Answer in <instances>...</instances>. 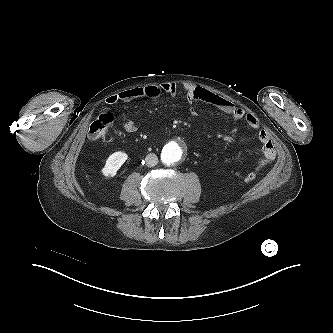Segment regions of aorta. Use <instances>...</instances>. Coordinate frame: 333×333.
I'll use <instances>...</instances> for the list:
<instances>
[{"mask_svg":"<svg viewBox=\"0 0 333 333\" xmlns=\"http://www.w3.org/2000/svg\"><path fill=\"white\" fill-rule=\"evenodd\" d=\"M183 152L184 147L181 144L166 145L162 150L161 160L167 165H174L181 160Z\"/></svg>","mask_w":333,"mask_h":333,"instance_id":"obj_1","label":"aorta"}]
</instances>
